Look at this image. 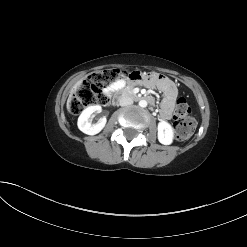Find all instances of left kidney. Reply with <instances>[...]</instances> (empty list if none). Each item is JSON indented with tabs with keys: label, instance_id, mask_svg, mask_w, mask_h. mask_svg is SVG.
<instances>
[{
	"label": "left kidney",
	"instance_id": "1",
	"mask_svg": "<svg viewBox=\"0 0 247 247\" xmlns=\"http://www.w3.org/2000/svg\"><path fill=\"white\" fill-rule=\"evenodd\" d=\"M174 132L172 126L165 121L158 123V140L161 144L170 145L173 142Z\"/></svg>",
	"mask_w": 247,
	"mask_h": 247
}]
</instances>
